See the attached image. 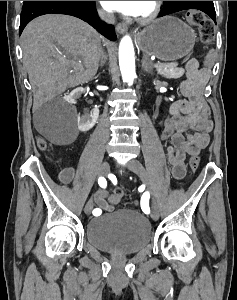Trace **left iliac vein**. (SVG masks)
<instances>
[{
    "label": "left iliac vein",
    "instance_id": "obj_1",
    "mask_svg": "<svg viewBox=\"0 0 237 300\" xmlns=\"http://www.w3.org/2000/svg\"><path fill=\"white\" fill-rule=\"evenodd\" d=\"M127 168L137 174L145 183L147 189L150 191V185L148 184V174L143 165L138 160L132 159L127 163ZM152 218L154 220H157L159 218V209L156 202L154 201L152 203Z\"/></svg>",
    "mask_w": 237,
    "mask_h": 300
}]
</instances>
